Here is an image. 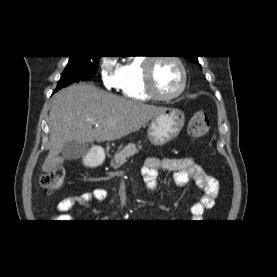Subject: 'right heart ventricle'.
Instances as JSON below:
<instances>
[{
    "instance_id": "e07e8e85",
    "label": "right heart ventricle",
    "mask_w": 277,
    "mask_h": 277,
    "mask_svg": "<svg viewBox=\"0 0 277 277\" xmlns=\"http://www.w3.org/2000/svg\"><path fill=\"white\" fill-rule=\"evenodd\" d=\"M144 62V57L137 56L129 59L121 65L119 69L121 78L119 89L126 98L136 101L151 100V97L144 90Z\"/></svg>"
}]
</instances>
